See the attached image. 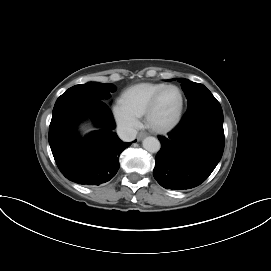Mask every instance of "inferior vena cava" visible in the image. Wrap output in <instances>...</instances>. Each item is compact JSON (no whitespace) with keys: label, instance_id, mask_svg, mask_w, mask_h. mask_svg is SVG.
<instances>
[{"label":"inferior vena cava","instance_id":"1","mask_svg":"<svg viewBox=\"0 0 271 271\" xmlns=\"http://www.w3.org/2000/svg\"><path fill=\"white\" fill-rule=\"evenodd\" d=\"M117 134L122 141L130 142L136 138L137 131L131 127L119 126L117 128Z\"/></svg>","mask_w":271,"mask_h":271}]
</instances>
